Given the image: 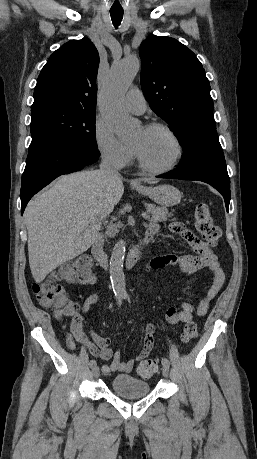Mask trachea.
<instances>
[{
	"label": "trachea",
	"instance_id": "trachea-1",
	"mask_svg": "<svg viewBox=\"0 0 257 459\" xmlns=\"http://www.w3.org/2000/svg\"><path fill=\"white\" fill-rule=\"evenodd\" d=\"M123 11H110L112 23L115 28H118L123 18Z\"/></svg>",
	"mask_w": 257,
	"mask_h": 459
}]
</instances>
